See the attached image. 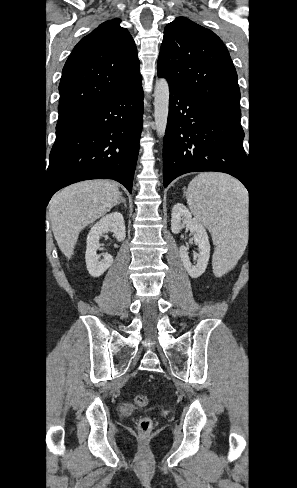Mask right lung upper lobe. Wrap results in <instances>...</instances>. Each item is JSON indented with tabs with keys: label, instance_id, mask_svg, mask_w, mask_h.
Returning <instances> with one entry per match:
<instances>
[{
	"label": "right lung upper lobe",
	"instance_id": "obj_1",
	"mask_svg": "<svg viewBox=\"0 0 297 488\" xmlns=\"http://www.w3.org/2000/svg\"><path fill=\"white\" fill-rule=\"evenodd\" d=\"M119 22L120 19H114L102 23L71 52L59 85L57 124L141 78L135 42Z\"/></svg>",
	"mask_w": 297,
	"mask_h": 488
}]
</instances>
